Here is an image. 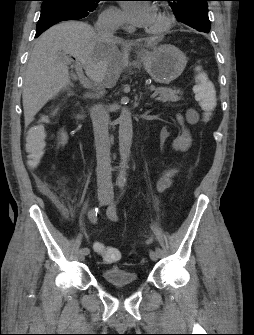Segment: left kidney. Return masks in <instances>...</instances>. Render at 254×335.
Here are the masks:
<instances>
[{"label":"left kidney","instance_id":"left-kidney-1","mask_svg":"<svg viewBox=\"0 0 254 335\" xmlns=\"http://www.w3.org/2000/svg\"><path fill=\"white\" fill-rule=\"evenodd\" d=\"M176 119L179 122V124L182 126V135L177 137L173 141L172 147L175 150H180L182 152H185L190 148L192 144V138H191L189 131L184 128L183 117L180 114H177Z\"/></svg>","mask_w":254,"mask_h":335}]
</instances>
